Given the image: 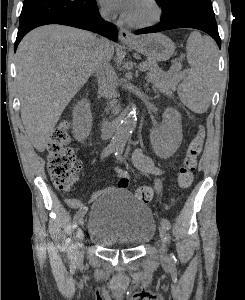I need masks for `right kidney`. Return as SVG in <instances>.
Segmentation results:
<instances>
[{
  "instance_id": "obj_1",
  "label": "right kidney",
  "mask_w": 245,
  "mask_h": 300,
  "mask_svg": "<svg viewBox=\"0 0 245 300\" xmlns=\"http://www.w3.org/2000/svg\"><path fill=\"white\" fill-rule=\"evenodd\" d=\"M92 126V114L87 99H82L73 110V134L77 141L85 140Z\"/></svg>"
}]
</instances>
